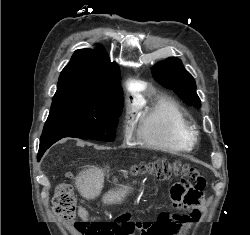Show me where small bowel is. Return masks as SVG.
<instances>
[{
    "mask_svg": "<svg viewBox=\"0 0 250 235\" xmlns=\"http://www.w3.org/2000/svg\"><path fill=\"white\" fill-rule=\"evenodd\" d=\"M183 208L177 210L173 215H165L159 219L166 227L165 235H177L182 226L187 222H195L199 219L200 213L203 211L204 206L202 203L199 205H183ZM79 216L81 218L87 217V211L85 208H80ZM141 235L139 231H136ZM135 232H131L130 235H134Z\"/></svg>",
    "mask_w": 250,
    "mask_h": 235,
    "instance_id": "c3829d8e",
    "label": "small bowel"
}]
</instances>
